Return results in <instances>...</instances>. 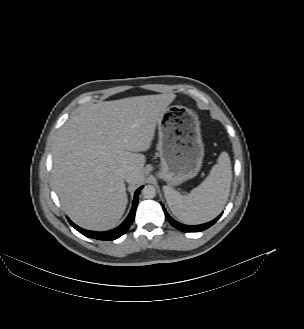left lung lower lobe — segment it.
<instances>
[{
	"label": "left lung lower lobe",
	"instance_id": "obj_1",
	"mask_svg": "<svg viewBox=\"0 0 304 329\" xmlns=\"http://www.w3.org/2000/svg\"><path fill=\"white\" fill-rule=\"evenodd\" d=\"M163 209H164V213L168 219V221L170 222V224L175 227L176 229L180 230V231H183V232H200V231H203L207 228H209L210 226H212L218 219L221 215H219L217 218H215L214 220L208 222V223H205V224H201V225H196V226H189V225H184V224H181L177 221H175L173 218H171L169 216V214L166 212L164 206L162 205Z\"/></svg>",
	"mask_w": 304,
	"mask_h": 329
}]
</instances>
